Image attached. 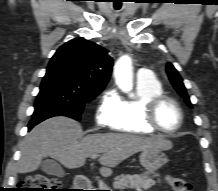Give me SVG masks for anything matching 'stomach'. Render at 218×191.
Here are the masks:
<instances>
[{"mask_svg":"<svg viewBox=\"0 0 218 191\" xmlns=\"http://www.w3.org/2000/svg\"><path fill=\"white\" fill-rule=\"evenodd\" d=\"M140 164L149 172H154L165 165L168 158L162 150L146 149L140 154Z\"/></svg>","mask_w":218,"mask_h":191,"instance_id":"0dacf381","label":"stomach"}]
</instances>
